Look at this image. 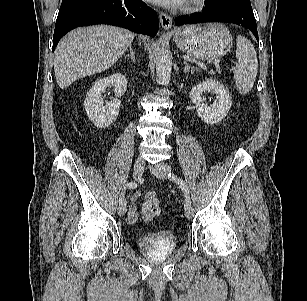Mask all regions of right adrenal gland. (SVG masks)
Instances as JSON below:
<instances>
[{"label":"right adrenal gland","instance_id":"2a0ac1e0","mask_svg":"<svg viewBox=\"0 0 307 301\" xmlns=\"http://www.w3.org/2000/svg\"><path fill=\"white\" fill-rule=\"evenodd\" d=\"M129 51H130V53L127 54V55H125V58H131L132 61H133L134 63H136L135 55H134V52H133V50H132V46H131V45L129 46Z\"/></svg>","mask_w":307,"mask_h":301}]
</instances>
